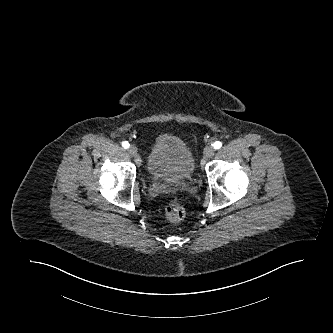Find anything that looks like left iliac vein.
Wrapping results in <instances>:
<instances>
[{"label":"left iliac vein","instance_id":"4c4485c4","mask_svg":"<svg viewBox=\"0 0 333 333\" xmlns=\"http://www.w3.org/2000/svg\"><path fill=\"white\" fill-rule=\"evenodd\" d=\"M204 158L205 159H209V158H212L215 154V150L213 149V147L211 146H207L205 149H204Z\"/></svg>","mask_w":333,"mask_h":333}]
</instances>
